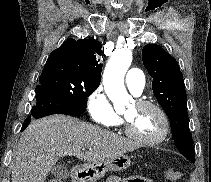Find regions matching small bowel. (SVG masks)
I'll return each instance as SVG.
<instances>
[{
  "label": "small bowel",
  "instance_id": "obj_1",
  "mask_svg": "<svg viewBox=\"0 0 211 182\" xmlns=\"http://www.w3.org/2000/svg\"><path fill=\"white\" fill-rule=\"evenodd\" d=\"M108 182H153V181H151L146 177H141V176H132L125 179H120L116 176H111Z\"/></svg>",
  "mask_w": 211,
  "mask_h": 182
}]
</instances>
